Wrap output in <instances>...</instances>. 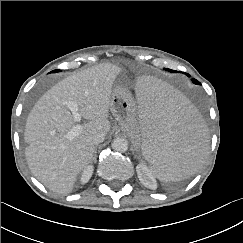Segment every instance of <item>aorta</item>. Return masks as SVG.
Here are the masks:
<instances>
[{"label": "aorta", "instance_id": "aorta-1", "mask_svg": "<svg viewBox=\"0 0 243 243\" xmlns=\"http://www.w3.org/2000/svg\"><path fill=\"white\" fill-rule=\"evenodd\" d=\"M112 148L118 152H126L128 150V141L124 138H115L112 142Z\"/></svg>", "mask_w": 243, "mask_h": 243}]
</instances>
